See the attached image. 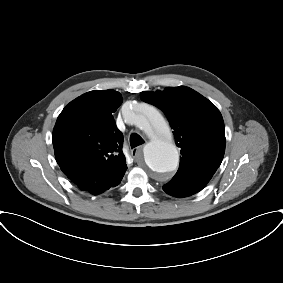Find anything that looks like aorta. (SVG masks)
I'll return each instance as SVG.
<instances>
[{
    "label": "aorta",
    "mask_w": 283,
    "mask_h": 283,
    "mask_svg": "<svg viewBox=\"0 0 283 283\" xmlns=\"http://www.w3.org/2000/svg\"><path fill=\"white\" fill-rule=\"evenodd\" d=\"M124 118L150 138L143 150L148 168L160 175L176 170L179 153L159 111L150 105H132L124 110Z\"/></svg>",
    "instance_id": "1"
}]
</instances>
